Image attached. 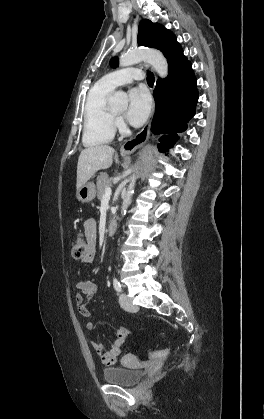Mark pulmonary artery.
I'll list each match as a JSON object with an SVG mask.
<instances>
[{"mask_svg":"<svg viewBox=\"0 0 264 419\" xmlns=\"http://www.w3.org/2000/svg\"><path fill=\"white\" fill-rule=\"evenodd\" d=\"M143 78L144 74L141 70L136 68H124L105 75L100 81L107 87L114 89L120 85H125L134 80H141Z\"/></svg>","mask_w":264,"mask_h":419,"instance_id":"e3ab8cb5","label":"pulmonary artery"}]
</instances>
